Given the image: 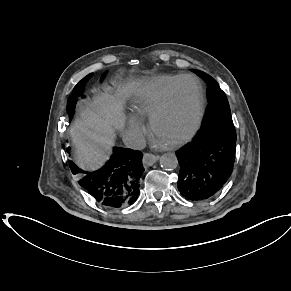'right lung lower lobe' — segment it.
Returning <instances> with one entry per match:
<instances>
[{
  "instance_id": "obj_1",
  "label": "right lung lower lobe",
  "mask_w": 291,
  "mask_h": 291,
  "mask_svg": "<svg viewBox=\"0 0 291 291\" xmlns=\"http://www.w3.org/2000/svg\"><path fill=\"white\" fill-rule=\"evenodd\" d=\"M69 166L73 174L81 177L79 184L105 207L132 205L140 194V179L144 172L140 151L114 148L110 160L93 172L80 169L72 161Z\"/></svg>"
}]
</instances>
